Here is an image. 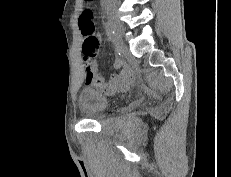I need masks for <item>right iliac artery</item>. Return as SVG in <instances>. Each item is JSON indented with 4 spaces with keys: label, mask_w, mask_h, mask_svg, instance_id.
I'll return each mask as SVG.
<instances>
[{
    "label": "right iliac artery",
    "mask_w": 231,
    "mask_h": 177,
    "mask_svg": "<svg viewBox=\"0 0 231 177\" xmlns=\"http://www.w3.org/2000/svg\"><path fill=\"white\" fill-rule=\"evenodd\" d=\"M104 26H105L106 34H107L109 40L114 42L115 41V32H114L111 24L108 21H106L104 23Z\"/></svg>",
    "instance_id": "1"
}]
</instances>
